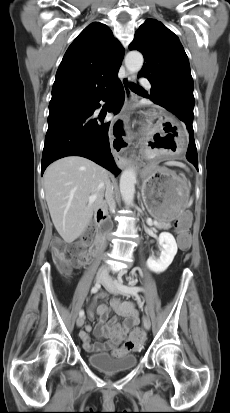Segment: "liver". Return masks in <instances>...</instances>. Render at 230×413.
I'll list each match as a JSON object with an SVG mask.
<instances>
[{"label": "liver", "instance_id": "1", "mask_svg": "<svg viewBox=\"0 0 230 413\" xmlns=\"http://www.w3.org/2000/svg\"><path fill=\"white\" fill-rule=\"evenodd\" d=\"M109 173L80 156L61 158L44 173L45 198L52 222L66 243H72L87 228L93 213L104 206ZM96 195L95 200H89Z\"/></svg>", "mask_w": 230, "mask_h": 413}]
</instances>
